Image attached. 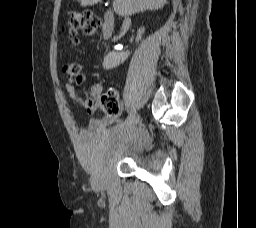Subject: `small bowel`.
I'll return each instance as SVG.
<instances>
[{"label":"small bowel","instance_id":"c3829d8e","mask_svg":"<svg viewBox=\"0 0 256 228\" xmlns=\"http://www.w3.org/2000/svg\"><path fill=\"white\" fill-rule=\"evenodd\" d=\"M85 80L84 75H78L76 78L68 79L65 83V89L67 90L70 97L76 101L79 100L78 95L75 92L74 83H81ZM89 94L95 98L96 100L99 99L102 95V86L100 84H93L89 89ZM117 119L116 116L114 117H103L99 119H92L89 122L88 128L86 130L81 131L80 135L82 137L88 136L93 132H103L109 125H111Z\"/></svg>","mask_w":256,"mask_h":228}]
</instances>
